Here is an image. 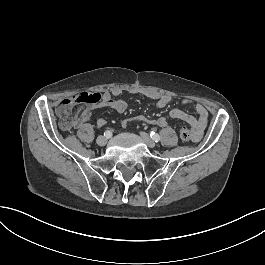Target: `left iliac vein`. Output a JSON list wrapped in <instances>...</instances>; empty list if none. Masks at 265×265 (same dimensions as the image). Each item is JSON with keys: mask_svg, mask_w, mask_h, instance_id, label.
I'll list each match as a JSON object with an SVG mask.
<instances>
[{"mask_svg": "<svg viewBox=\"0 0 265 265\" xmlns=\"http://www.w3.org/2000/svg\"><path fill=\"white\" fill-rule=\"evenodd\" d=\"M141 138L143 139V141L146 143V145L150 148H154L155 147V142L153 139L150 138V136L145 133V132H141L140 133Z\"/></svg>", "mask_w": 265, "mask_h": 265, "instance_id": "obj_1", "label": "left iliac vein"}]
</instances>
